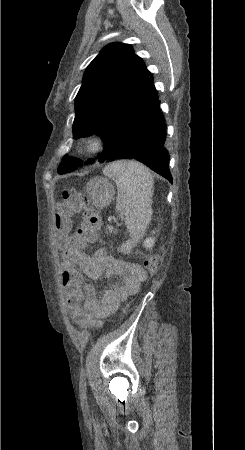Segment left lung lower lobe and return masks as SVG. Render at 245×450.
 Listing matches in <instances>:
<instances>
[{
	"label": "left lung lower lobe",
	"instance_id": "left-lung-lower-lobe-1",
	"mask_svg": "<svg viewBox=\"0 0 245 450\" xmlns=\"http://www.w3.org/2000/svg\"><path fill=\"white\" fill-rule=\"evenodd\" d=\"M165 118L159 97L148 107L133 134L118 152L103 156L104 160L136 159L172 182L169 171V153L165 147Z\"/></svg>",
	"mask_w": 245,
	"mask_h": 450
}]
</instances>
